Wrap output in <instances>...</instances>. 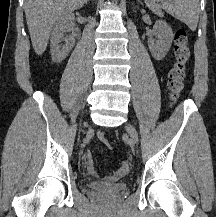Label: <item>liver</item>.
I'll return each mask as SVG.
<instances>
[{"mask_svg": "<svg viewBox=\"0 0 216 217\" xmlns=\"http://www.w3.org/2000/svg\"><path fill=\"white\" fill-rule=\"evenodd\" d=\"M86 0H25L26 21L34 51L42 55L47 48L54 24L67 12L84 5Z\"/></svg>", "mask_w": 216, "mask_h": 217, "instance_id": "1", "label": "liver"}]
</instances>
